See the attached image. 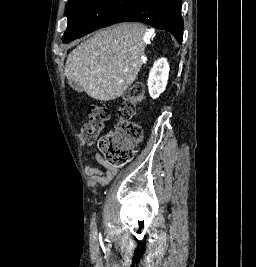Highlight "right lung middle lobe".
I'll return each mask as SVG.
<instances>
[{
	"label": "right lung middle lobe",
	"instance_id": "obj_1",
	"mask_svg": "<svg viewBox=\"0 0 256 267\" xmlns=\"http://www.w3.org/2000/svg\"><path fill=\"white\" fill-rule=\"evenodd\" d=\"M138 0H69L66 5L68 27L63 42L81 38L109 26L127 13Z\"/></svg>",
	"mask_w": 256,
	"mask_h": 267
}]
</instances>
